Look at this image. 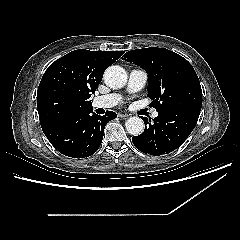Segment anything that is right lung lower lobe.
<instances>
[{
	"mask_svg": "<svg viewBox=\"0 0 240 240\" xmlns=\"http://www.w3.org/2000/svg\"><path fill=\"white\" fill-rule=\"evenodd\" d=\"M116 116L112 111L100 116L91 109L68 116L43 129V132L60 153L73 158H85L99 149L106 124Z\"/></svg>",
	"mask_w": 240,
	"mask_h": 240,
	"instance_id": "1",
	"label": "right lung lower lobe"
}]
</instances>
